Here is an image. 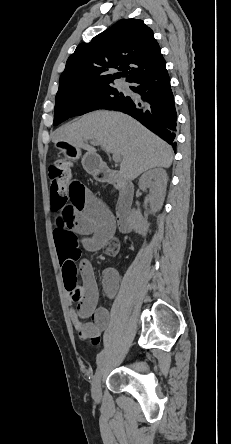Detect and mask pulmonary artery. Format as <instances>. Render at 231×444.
I'll list each match as a JSON object with an SVG mask.
<instances>
[{
  "label": "pulmonary artery",
  "instance_id": "1",
  "mask_svg": "<svg viewBox=\"0 0 231 444\" xmlns=\"http://www.w3.org/2000/svg\"><path fill=\"white\" fill-rule=\"evenodd\" d=\"M121 87H122L123 89H127V84L122 83V84H121Z\"/></svg>",
  "mask_w": 231,
  "mask_h": 444
}]
</instances>
